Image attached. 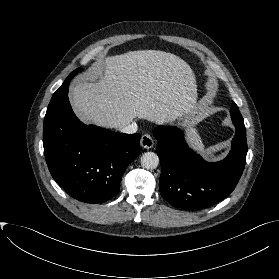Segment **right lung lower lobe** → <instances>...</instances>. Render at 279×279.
I'll use <instances>...</instances> for the list:
<instances>
[{
  "mask_svg": "<svg viewBox=\"0 0 279 279\" xmlns=\"http://www.w3.org/2000/svg\"><path fill=\"white\" fill-rule=\"evenodd\" d=\"M43 146L54 180L72 198L96 204L118 194L125 169L140 153V134L83 124L66 96L46 112Z\"/></svg>",
  "mask_w": 279,
  "mask_h": 279,
  "instance_id": "1",
  "label": "right lung lower lobe"
}]
</instances>
